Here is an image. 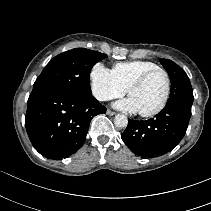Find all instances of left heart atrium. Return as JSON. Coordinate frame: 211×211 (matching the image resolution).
<instances>
[{
  "mask_svg": "<svg viewBox=\"0 0 211 211\" xmlns=\"http://www.w3.org/2000/svg\"><path fill=\"white\" fill-rule=\"evenodd\" d=\"M115 106L121 110L128 111V112H138V109L131 98L124 99L119 101L115 104Z\"/></svg>",
  "mask_w": 211,
  "mask_h": 211,
  "instance_id": "left-heart-atrium-1",
  "label": "left heart atrium"
}]
</instances>
